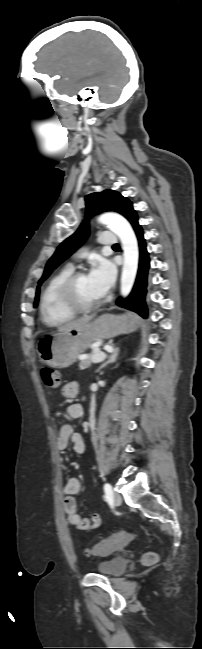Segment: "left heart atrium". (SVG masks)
<instances>
[{
    "instance_id": "1",
    "label": "left heart atrium",
    "mask_w": 202,
    "mask_h": 649,
    "mask_svg": "<svg viewBox=\"0 0 202 649\" xmlns=\"http://www.w3.org/2000/svg\"><path fill=\"white\" fill-rule=\"evenodd\" d=\"M87 277L93 288L103 296L115 281L116 268L111 261L99 257L93 261Z\"/></svg>"
}]
</instances>
